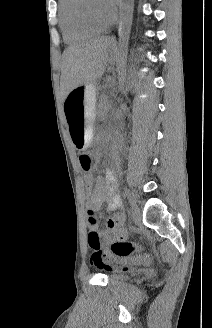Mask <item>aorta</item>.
I'll return each mask as SVG.
<instances>
[{
    "instance_id": "aorta-1",
    "label": "aorta",
    "mask_w": 212,
    "mask_h": 328,
    "mask_svg": "<svg viewBox=\"0 0 212 328\" xmlns=\"http://www.w3.org/2000/svg\"><path fill=\"white\" fill-rule=\"evenodd\" d=\"M134 0H121L120 2V22L118 29L119 37V59H118V79L119 89L123 90L125 85L127 58L125 51L127 49L132 20H133ZM124 105H121V109Z\"/></svg>"
}]
</instances>
